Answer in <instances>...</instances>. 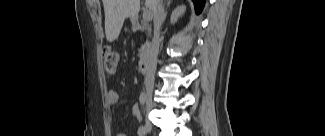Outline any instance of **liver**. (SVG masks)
I'll return each mask as SVG.
<instances>
[{
    "mask_svg": "<svg viewBox=\"0 0 325 136\" xmlns=\"http://www.w3.org/2000/svg\"><path fill=\"white\" fill-rule=\"evenodd\" d=\"M105 34L108 42L116 40L127 17L135 19L140 10V0H103ZM146 5L152 9L150 0Z\"/></svg>",
    "mask_w": 325,
    "mask_h": 136,
    "instance_id": "liver-1",
    "label": "liver"
}]
</instances>
